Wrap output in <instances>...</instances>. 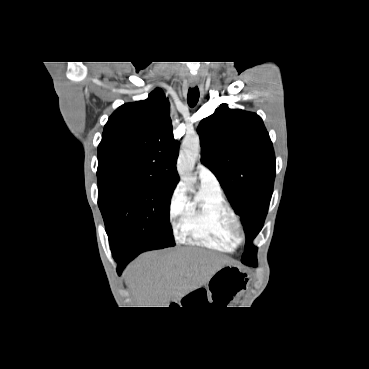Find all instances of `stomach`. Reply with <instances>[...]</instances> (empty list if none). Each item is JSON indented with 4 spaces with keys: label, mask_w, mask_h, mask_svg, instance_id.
Here are the masks:
<instances>
[{
    "label": "stomach",
    "mask_w": 369,
    "mask_h": 369,
    "mask_svg": "<svg viewBox=\"0 0 369 369\" xmlns=\"http://www.w3.org/2000/svg\"><path fill=\"white\" fill-rule=\"evenodd\" d=\"M248 281L249 276L241 268L233 264H226L215 272L204 289L213 301L217 300L227 305L244 291Z\"/></svg>",
    "instance_id": "0dacf381"
}]
</instances>
